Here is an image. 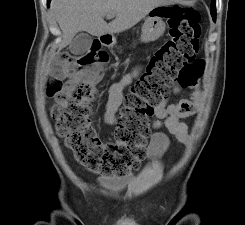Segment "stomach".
I'll return each mask as SVG.
<instances>
[{"mask_svg":"<svg viewBox=\"0 0 245 225\" xmlns=\"http://www.w3.org/2000/svg\"><path fill=\"white\" fill-rule=\"evenodd\" d=\"M163 8L166 5L158 6L149 12L141 31V42L149 43L159 39L165 32L166 24L163 21Z\"/></svg>","mask_w":245,"mask_h":225,"instance_id":"1","label":"stomach"}]
</instances>
